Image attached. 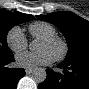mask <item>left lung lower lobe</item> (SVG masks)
Wrapping results in <instances>:
<instances>
[{
    "instance_id": "0a47b994",
    "label": "left lung lower lobe",
    "mask_w": 89,
    "mask_h": 89,
    "mask_svg": "<svg viewBox=\"0 0 89 89\" xmlns=\"http://www.w3.org/2000/svg\"><path fill=\"white\" fill-rule=\"evenodd\" d=\"M63 73L47 69L46 80L39 89H89V57L83 56L70 62H62Z\"/></svg>"
}]
</instances>
